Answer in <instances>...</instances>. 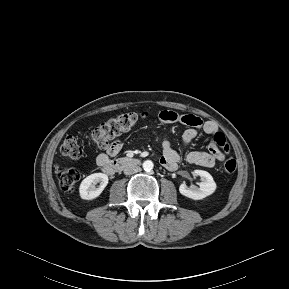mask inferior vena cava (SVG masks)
Returning <instances> with one entry per match:
<instances>
[{"label":"inferior vena cava","instance_id":"obj_1","mask_svg":"<svg viewBox=\"0 0 289 289\" xmlns=\"http://www.w3.org/2000/svg\"><path fill=\"white\" fill-rule=\"evenodd\" d=\"M140 171V167L138 166H129L124 169V174L131 175Z\"/></svg>","mask_w":289,"mask_h":289}]
</instances>
